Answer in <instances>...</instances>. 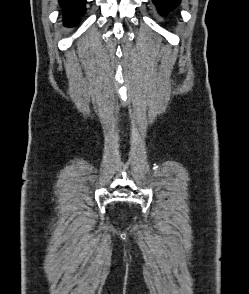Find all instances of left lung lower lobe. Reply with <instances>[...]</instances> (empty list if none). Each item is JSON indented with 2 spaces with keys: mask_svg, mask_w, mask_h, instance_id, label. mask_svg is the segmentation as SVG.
I'll return each mask as SVG.
<instances>
[{
  "mask_svg": "<svg viewBox=\"0 0 249 294\" xmlns=\"http://www.w3.org/2000/svg\"><path fill=\"white\" fill-rule=\"evenodd\" d=\"M181 0H153V3L157 6L160 13L166 14L171 9L176 7Z\"/></svg>",
  "mask_w": 249,
  "mask_h": 294,
  "instance_id": "obj_1",
  "label": "left lung lower lobe"
}]
</instances>
